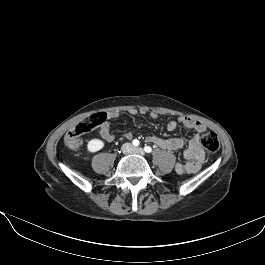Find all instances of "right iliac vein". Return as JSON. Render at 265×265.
<instances>
[{
	"label": "right iliac vein",
	"instance_id": "63e3f726",
	"mask_svg": "<svg viewBox=\"0 0 265 265\" xmlns=\"http://www.w3.org/2000/svg\"><path fill=\"white\" fill-rule=\"evenodd\" d=\"M132 150H133V147H132V145L129 144V143H126V144H124V145L122 146V151H123L124 153H130Z\"/></svg>",
	"mask_w": 265,
	"mask_h": 265
}]
</instances>
